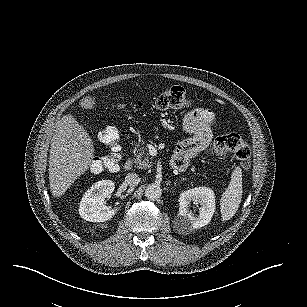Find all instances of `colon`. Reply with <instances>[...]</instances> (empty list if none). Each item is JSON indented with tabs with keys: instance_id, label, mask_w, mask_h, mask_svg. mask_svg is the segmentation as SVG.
Returning a JSON list of instances; mask_svg holds the SVG:
<instances>
[{
	"instance_id": "1",
	"label": "colon",
	"mask_w": 307,
	"mask_h": 307,
	"mask_svg": "<svg viewBox=\"0 0 307 307\" xmlns=\"http://www.w3.org/2000/svg\"><path fill=\"white\" fill-rule=\"evenodd\" d=\"M191 104V98L181 86H172L165 89L156 99L157 107L162 110L186 108ZM98 138L110 148L111 152L95 158L91 163V170L98 173L116 169L120 161V135L118 130L115 127H106L99 132ZM211 152L219 156L234 153L243 170L246 171L250 167L251 147L236 133L218 136L214 141Z\"/></svg>"
}]
</instances>
